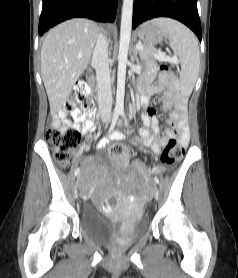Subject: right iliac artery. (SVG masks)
Segmentation results:
<instances>
[{
  "instance_id": "1",
  "label": "right iliac artery",
  "mask_w": 238,
  "mask_h": 278,
  "mask_svg": "<svg viewBox=\"0 0 238 278\" xmlns=\"http://www.w3.org/2000/svg\"><path fill=\"white\" fill-rule=\"evenodd\" d=\"M118 117H119V114H118V113H115L114 116H113V119H112L111 126H110V128H109V133L113 131V129H114L115 125H116V122H117V120H118ZM79 172H80V168H77V169L75 170V173H74L75 176L78 175Z\"/></svg>"
}]
</instances>
